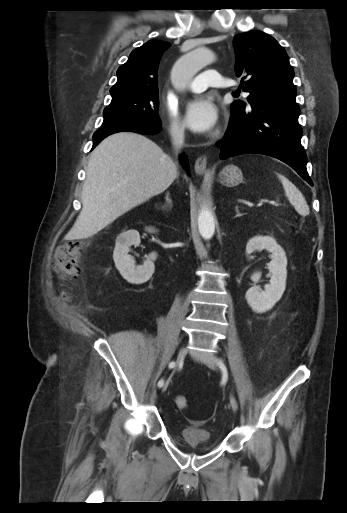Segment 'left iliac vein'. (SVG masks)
I'll return each mask as SVG.
<instances>
[{
    "label": "left iliac vein",
    "mask_w": 347,
    "mask_h": 513,
    "mask_svg": "<svg viewBox=\"0 0 347 513\" xmlns=\"http://www.w3.org/2000/svg\"><path fill=\"white\" fill-rule=\"evenodd\" d=\"M203 362L212 370L218 369V362L215 357L210 356L203 359ZM230 404L234 412L238 409V403L233 395L230 396Z\"/></svg>",
    "instance_id": "1"
}]
</instances>
